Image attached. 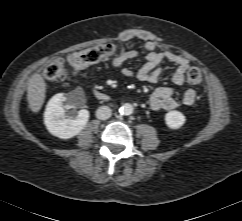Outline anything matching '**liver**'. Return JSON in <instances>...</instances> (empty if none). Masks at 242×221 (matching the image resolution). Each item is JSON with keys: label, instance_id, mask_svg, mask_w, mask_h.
<instances>
[{"label": "liver", "instance_id": "6515ba94", "mask_svg": "<svg viewBox=\"0 0 242 221\" xmlns=\"http://www.w3.org/2000/svg\"><path fill=\"white\" fill-rule=\"evenodd\" d=\"M46 98V83L41 74L35 73L28 81L27 100L29 108L37 113Z\"/></svg>", "mask_w": 242, "mask_h": 221}]
</instances>
